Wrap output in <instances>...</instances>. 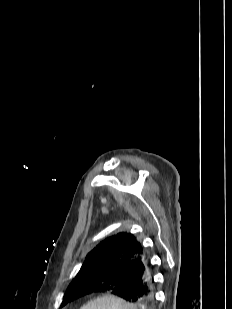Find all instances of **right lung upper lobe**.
Returning a JSON list of instances; mask_svg holds the SVG:
<instances>
[{
    "mask_svg": "<svg viewBox=\"0 0 232 309\" xmlns=\"http://www.w3.org/2000/svg\"><path fill=\"white\" fill-rule=\"evenodd\" d=\"M145 259L143 247L136 237L131 233L120 232L106 238L88 253L76 277L96 271L118 273V267Z\"/></svg>",
    "mask_w": 232,
    "mask_h": 309,
    "instance_id": "obj_1",
    "label": "right lung upper lobe"
}]
</instances>
